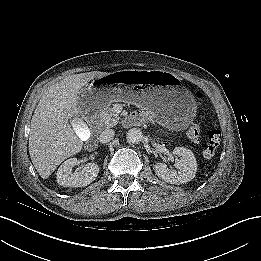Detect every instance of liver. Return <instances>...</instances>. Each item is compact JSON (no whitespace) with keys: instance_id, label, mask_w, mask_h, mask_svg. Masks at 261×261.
Returning a JSON list of instances; mask_svg holds the SVG:
<instances>
[{"instance_id":"1","label":"liver","mask_w":261,"mask_h":261,"mask_svg":"<svg viewBox=\"0 0 261 261\" xmlns=\"http://www.w3.org/2000/svg\"><path fill=\"white\" fill-rule=\"evenodd\" d=\"M109 73L92 71L73 74L48 86L31 119L29 154L43 179L83 147V139L69 124L81 112L79 95L87 83Z\"/></svg>"}]
</instances>
